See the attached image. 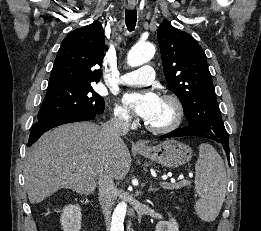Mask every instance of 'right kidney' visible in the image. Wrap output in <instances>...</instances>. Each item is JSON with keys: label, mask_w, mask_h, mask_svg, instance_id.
Returning <instances> with one entry per match:
<instances>
[{"label": "right kidney", "mask_w": 261, "mask_h": 231, "mask_svg": "<svg viewBox=\"0 0 261 231\" xmlns=\"http://www.w3.org/2000/svg\"><path fill=\"white\" fill-rule=\"evenodd\" d=\"M81 216V209L78 205L66 206L60 219L63 231H80Z\"/></svg>", "instance_id": "1"}]
</instances>
